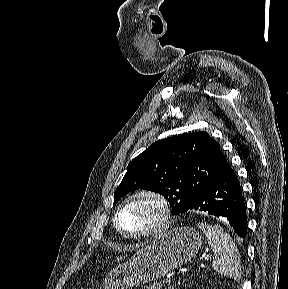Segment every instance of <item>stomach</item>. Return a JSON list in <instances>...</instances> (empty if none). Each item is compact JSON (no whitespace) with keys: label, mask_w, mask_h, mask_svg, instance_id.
Masks as SVG:
<instances>
[{"label":"stomach","mask_w":288,"mask_h":289,"mask_svg":"<svg viewBox=\"0 0 288 289\" xmlns=\"http://www.w3.org/2000/svg\"><path fill=\"white\" fill-rule=\"evenodd\" d=\"M202 245L200 233L192 227H174L158 235L124 264L112 269L103 289H131L159 279L187 263ZM101 289V288H100Z\"/></svg>","instance_id":"stomach-1"}]
</instances>
